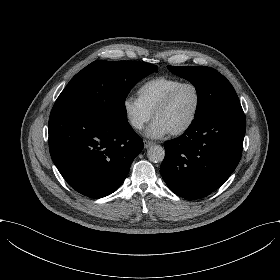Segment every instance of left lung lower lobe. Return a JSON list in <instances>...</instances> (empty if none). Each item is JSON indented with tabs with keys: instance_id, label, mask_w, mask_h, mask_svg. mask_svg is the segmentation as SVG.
Wrapping results in <instances>:
<instances>
[{
	"instance_id": "left-lung-lower-lobe-1",
	"label": "left lung lower lobe",
	"mask_w": 280,
	"mask_h": 280,
	"mask_svg": "<svg viewBox=\"0 0 280 280\" xmlns=\"http://www.w3.org/2000/svg\"><path fill=\"white\" fill-rule=\"evenodd\" d=\"M245 131L240 104L193 120L180 137L165 142L161 175L169 189L196 200L219 188L240 161Z\"/></svg>"
}]
</instances>
